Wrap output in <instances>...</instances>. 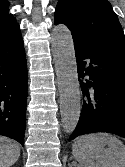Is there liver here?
Masks as SVG:
<instances>
[{"label": "liver", "instance_id": "obj_1", "mask_svg": "<svg viewBox=\"0 0 125 167\" xmlns=\"http://www.w3.org/2000/svg\"><path fill=\"white\" fill-rule=\"evenodd\" d=\"M20 156V147L17 142L0 136V167H10Z\"/></svg>", "mask_w": 125, "mask_h": 167}]
</instances>
